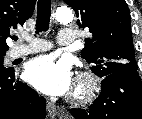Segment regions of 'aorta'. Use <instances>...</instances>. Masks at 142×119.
<instances>
[{"mask_svg":"<svg viewBox=\"0 0 142 119\" xmlns=\"http://www.w3.org/2000/svg\"><path fill=\"white\" fill-rule=\"evenodd\" d=\"M72 11L67 7H60L56 10L55 19L60 23H69L73 19Z\"/></svg>","mask_w":142,"mask_h":119,"instance_id":"obj_1","label":"aorta"}]
</instances>
